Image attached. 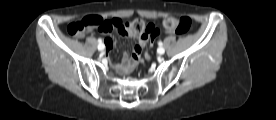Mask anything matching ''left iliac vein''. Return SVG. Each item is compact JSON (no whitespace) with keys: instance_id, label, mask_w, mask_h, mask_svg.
I'll return each mask as SVG.
<instances>
[{"instance_id":"4c4485c4","label":"left iliac vein","mask_w":276,"mask_h":120,"mask_svg":"<svg viewBox=\"0 0 276 120\" xmlns=\"http://www.w3.org/2000/svg\"><path fill=\"white\" fill-rule=\"evenodd\" d=\"M158 54L162 55L165 52V49L163 47H159L157 50Z\"/></svg>"}]
</instances>
